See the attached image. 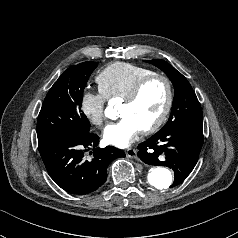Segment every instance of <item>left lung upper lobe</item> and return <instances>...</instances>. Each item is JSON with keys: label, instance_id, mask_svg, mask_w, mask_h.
<instances>
[{"label": "left lung upper lobe", "instance_id": "1", "mask_svg": "<svg viewBox=\"0 0 238 238\" xmlns=\"http://www.w3.org/2000/svg\"><path fill=\"white\" fill-rule=\"evenodd\" d=\"M160 68L174 85V100L168 122L159 131H167L172 128L193 124H203V113L200 103L187 79L164 60H146Z\"/></svg>", "mask_w": 238, "mask_h": 238}]
</instances>
